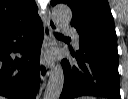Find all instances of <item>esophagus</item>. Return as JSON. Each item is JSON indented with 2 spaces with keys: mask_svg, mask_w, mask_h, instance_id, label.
Listing matches in <instances>:
<instances>
[{
  "mask_svg": "<svg viewBox=\"0 0 128 99\" xmlns=\"http://www.w3.org/2000/svg\"><path fill=\"white\" fill-rule=\"evenodd\" d=\"M57 30L58 28L55 21L49 15L44 30V41L40 58V77L42 80H45L49 76L52 68V62L46 58V52L55 46L56 40L53 32Z\"/></svg>",
  "mask_w": 128,
  "mask_h": 99,
  "instance_id": "34e87169",
  "label": "esophagus"
}]
</instances>
